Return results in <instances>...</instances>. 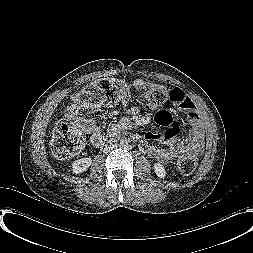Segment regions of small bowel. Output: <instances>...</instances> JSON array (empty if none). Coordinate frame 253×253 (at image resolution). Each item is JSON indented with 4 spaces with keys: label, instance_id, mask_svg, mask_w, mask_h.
I'll return each mask as SVG.
<instances>
[{
    "label": "small bowel",
    "instance_id": "obj_1",
    "mask_svg": "<svg viewBox=\"0 0 253 253\" xmlns=\"http://www.w3.org/2000/svg\"><path fill=\"white\" fill-rule=\"evenodd\" d=\"M175 93L174 103L179 110L183 112L190 122V139L183 141L176 139L175 136L179 132V125L173 120L171 111L162 110L157 115V122L165 126L163 132H147L144 135V142L147 154L159 161L167 164L173 160L180 159L185 156H198L204 145V134L199 120V113L194 102L178 88H172ZM72 109L70 116L79 114L78 97H71ZM75 125L84 133L90 135V142L93 146H100L108 139V135L103 133L101 124L94 118L79 116L75 118ZM119 128V125L115 127ZM152 142H159L166 145L161 148L152 144Z\"/></svg>",
    "mask_w": 253,
    "mask_h": 253
}]
</instances>
